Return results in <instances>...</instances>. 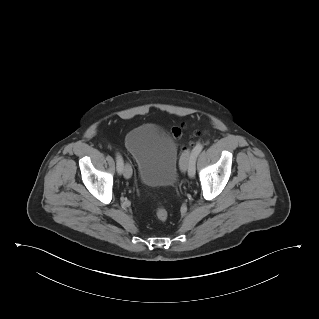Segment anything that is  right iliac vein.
Returning <instances> with one entry per match:
<instances>
[{"label": "right iliac vein", "mask_w": 319, "mask_h": 319, "mask_svg": "<svg viewBox=\"0 0 319 319\" xmlns=\"http://www.w3.org/2000/svg\"><path fill=\"white\" fill-rule=\"evenodd\" d=\"M123 175L126 179H129L132 176V168L129 163H126L123 167Z\"/></svg>", "instance_id": "1"}]
</instances>
